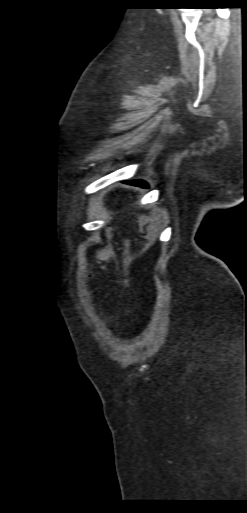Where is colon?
Segmentation results:
<instances>
[{
  "mask_svg": "<svg viewBox=\"0 0 247 513\" xmlns=\"http://www.w3.org/2000/svg\"><path fill=\"white\" fill-rule=\"evenodd\" d=\"M106 258V252L101 251L97 254V260H104Z\"/></svg>",
  "mask_w": 247,
  "mask_h": 513,
  "instance_id": "5ec220e1",
  "label": "colon"
}]
</instances>
